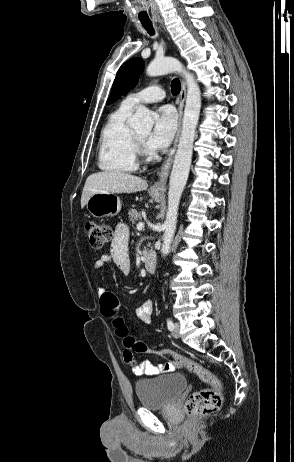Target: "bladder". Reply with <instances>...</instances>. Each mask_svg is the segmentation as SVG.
Instances as JSON below:
<instances>
[{
    "label": "bladder",
    "mask_w": 294,
    "mask_h": 462,
    "mask_svg": "<svg viewBox=\"0 0 294 462\" xmlns=\"http://www.w3.org/2000/svg\"><path fill=\"white\" fill-rule=\"evenodd\" d=\"M184 375L167 373L153 378L140 379L135 383L139 403L147 409H160L175 402L187 388Z\"/></svg>",
    "instance_id": "obj_1"
}]
</instances>
